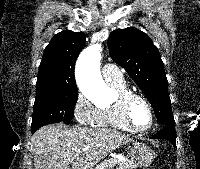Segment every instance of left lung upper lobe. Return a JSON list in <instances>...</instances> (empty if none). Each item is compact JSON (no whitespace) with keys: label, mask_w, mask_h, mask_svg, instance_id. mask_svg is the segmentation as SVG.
<instances>
[{"label":"left lung upper lobe","mask_w":200,"mask_h":169,"mask_svg":"<svg viewBox=\"0 0 200 169\" xmlns=\"http://www.w3.org/2000/svg\"><path fill=\"white\" fill-rule=\"evenodd\" d=\"M108 47L113 61L127 71L151 103L158 123L175 126L164 65L148 35L134 27L118 29L110 34Z\"/></svg>","instance_id":"1"}]
</instances>
